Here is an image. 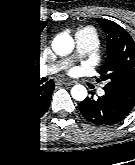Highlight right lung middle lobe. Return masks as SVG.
<instances>
[{"mask_svg":"<svg viewBox=\"0 0 135 165\" xmlns=\"http://www.w3.org/2000/svg\"><path fill=\"white\" fill-rule=\"evenodd\" d=\"M28 77L27 71L15 69L5 64L0 67V81L17 82L24 81Z\"/></svg>","mask_w":135,"mask_h":165,"instance_id":"obj_1","label":"right lung middle lobe"}]
</instances>
